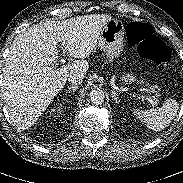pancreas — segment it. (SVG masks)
Segmentation results:
<instances>
[{"label":"pancreas","mask_w":183,"mask_h":183,"mask_svg":"<svg viewBox=\"0 0 183 183\" xmlns=\"http://www.w3.org/2000/svg\"><path fill=\"white\" fill-rule=\"evenodd\" d=\"M159 88L156 85L150 87V92L155 93V97L159 96ZM154 104L156 105L158 100L156 98L153 99Z\"/></svg>","instance_id":"pancreas-1"}]
</instances>
